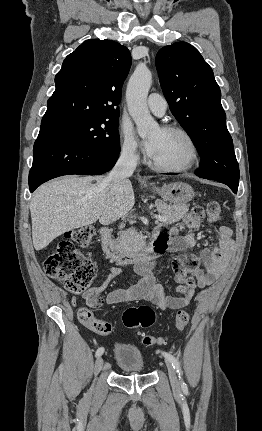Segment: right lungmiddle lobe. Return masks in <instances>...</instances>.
Instances as JSON below:
<instances>
[{
    "mask_svg": "<svg viewBox=\"0 0 262 431\" xmlns=\"http://www.w3.org/2000/svg\"><path fill=\"white\" fill-rule=\"evenodd\" d=\"M118 116H94L41 126L39 134L61 136L114 153L119 150Z\"/></svg>",
    "mask_w": 262,
    "mask_h": 431,
    "instance_id": "right-lung-middle-lobe-1",
    "label": "right lung middle lobe"
}]
</instances>
